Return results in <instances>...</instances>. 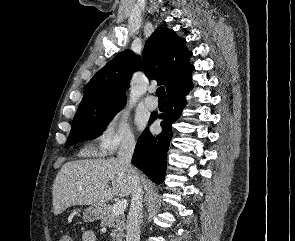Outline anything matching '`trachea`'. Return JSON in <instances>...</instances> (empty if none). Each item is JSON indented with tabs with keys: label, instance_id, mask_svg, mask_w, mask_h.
<instances>
[{
	"label": "trachea",
	"instance_id": "1",
	"mask_svg": "<svg viewBox=\"0 0 295 241\" xmlns=\"http://www.w3.org/2000/svg\"><path fill=\"white\" fill-rule=\"evenodd\" d=\"M156 96L159 98V100H165L166 99V93L164 87H159L156 90Z\"/></svg>",
	"mask_w": 295,
	"mask_h": 241
}]
</instances>
